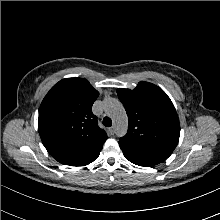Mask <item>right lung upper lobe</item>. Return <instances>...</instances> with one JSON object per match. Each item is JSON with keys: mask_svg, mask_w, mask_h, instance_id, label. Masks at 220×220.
Segmentation results:
<instances>
[{"mask_svg": "<svg viewBox=\"0 0 220 220\" xmlns=\"http://www.w3.org/2000/svg\"><path fill=\"white\" fill-rule=\"evenodd\" d=\"M99 92L83 78H65L43 99L38 118L41 140L58 162L85 166L97 159L107 139L92 105Z\"/></svg>", "mask_w": 220, "mask_h": 220, "instance_id": "obj_1", "label": "right lung upper lobe"}]
</instances>
